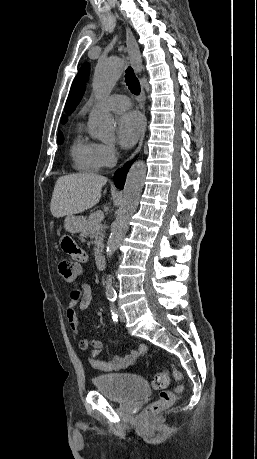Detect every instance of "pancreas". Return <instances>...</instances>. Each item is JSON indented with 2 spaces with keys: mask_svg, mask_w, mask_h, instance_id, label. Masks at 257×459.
Listing matches in <instances>:
<instances>
[{
  "mask_svg": "<svg viewBox=\"0 0 257 459\" xmlns=\"http://www.w3.org/2000/svg\"><path fill=\"white\" fill-rule=\"evenodd\" d=\"M105 229L106 226L101 224V221H97L95 218V213H93L88 217L81 231L82 237L88 236L91 239H94L93 243L95 245V255H98L101 248L103 247Z\"/></svg>",
  "mask_w": 257,
  "mask_h": 459,
  "instance_id": "pancreas-1",
  "label": "pancreas"
}]
</instances>
